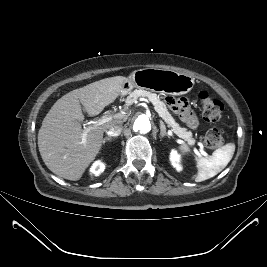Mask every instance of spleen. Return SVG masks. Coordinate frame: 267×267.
Instances as JSON below:
<instances>
[{
    "label": "spleen",
    "instance_id": "spleen-1",
    "mask_svg": "<svg viewBox=\"0 0 267 267\" xmlns=\"http://www.w3.org/2000/svg\"><path fill=\"white\" fill-rule=\"evenodd\" d=\"M184 154L190 149L183 145L179 147ZM235 152V144L228 143L213 152L212 155L206 158H199L197 162L198 172L194 179L196 182L205 181L220 173L230 162Z\"/></svg>",
    "mask_w": 267,
    "mask_h": 267
}]
</instances>
